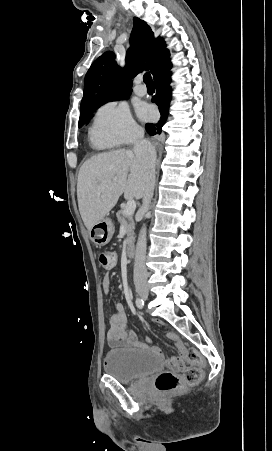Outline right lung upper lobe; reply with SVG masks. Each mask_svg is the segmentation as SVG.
<instances>
[{
    "instance_id": "cb5924a9",
    "label": "right lung upper lobe",
    "mask_w": 272,
    "mask_h": 451,
    "mask_svg": "<svg viewBox=\"0 0 272 451\" xmlns=\"http://www.w3.org/2000/svg\"><path fill=\"white\" fill-rule=\"evenodd\" d=\"M130 48L126 54V67L122 69L108 51L98 57L89 68L84 81V96L80 111L100 107L106 102L127 99L132 91V80L141 69L154 74L169 59V51L161 37L146 22L134 17ZM147 63L141 66V63Z\"/></svg>"
}]
</instances>
